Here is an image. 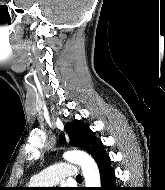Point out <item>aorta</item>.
<instances>
[{
    "instance_id": "aorta-1",
    "label": "aorta",
    "mask_w": 165,
    "mask_h": 190,
    "mask_svg": "<svg viewBox=\"0 0 165 190\" xmlns=\"http://www.w3.org/2000/svg\"><path fill=\"white\" fill-rule=\"evenodd\" d=\"M64 158L81 166L86 187H100L99 169L92 157L85 152L69 151L64 154Z\"/></svg>"
}]
</instances>
